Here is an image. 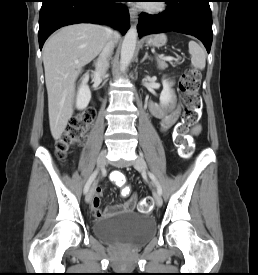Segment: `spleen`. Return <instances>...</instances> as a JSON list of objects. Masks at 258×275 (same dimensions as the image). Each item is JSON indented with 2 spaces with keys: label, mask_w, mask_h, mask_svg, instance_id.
<instances>
[{
  "label": "spleen",
  "mask_w": 258,
  "mask_h": 275,
  "mask_svg": "<svg viewBox=\"0 0 258 275\" xmlns=\"http://www.w3.org/2000/svg\"><path fill=\"white\" fill-rule=\"evenodd\" d=\"M188 46L192 66L196 69L203 70L206 65V55L204 50L195 41H190Z\"/></svg>",
  "instance_id": "spleen-1"
}]
</instances>
